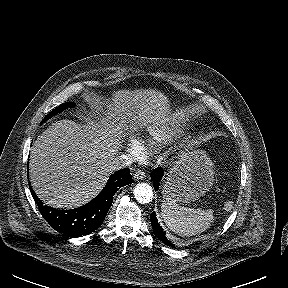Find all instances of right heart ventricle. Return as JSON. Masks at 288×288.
I'll use <instances>...</instances> for the list:
<instances>
[{"instance_id":"1","label":"right heart ventricle","mask_w":288,"mask_h":288,"mask_svg":"<svg viewBox=\"0 0 288 288\" xmlns=\"http://www.w3.org/2000/svg\"><path fill=\"white\" fill-rule=\"evenodd\" d=\"M182 132V128L174 124L160 125L153 129L147 137L149 143H167Z\"/></svg>"}]
</instances>
